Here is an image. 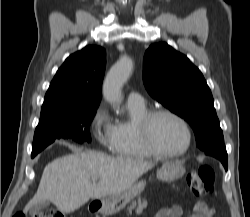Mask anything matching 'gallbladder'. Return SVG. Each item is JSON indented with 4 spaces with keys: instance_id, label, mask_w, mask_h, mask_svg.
Returning <instances> with one entry per match:
<instances>
[{
    "instance_id": "1",
    "label": "gallbladder",
    "mask_w": 250,
    "mask_h": 217,
    "mask_svg": "<svg viewBox=\"0 0 250 217\" xmlns=\"http://www.w3.org/2000/svg\"><path fill=\"white\" fill-rule=\"evenodd\" d=\"M50 205V203L48 201H44L42 203H39L35 206H33L31 209H30V213L31 214H36L38 213L40 210L44 209V208H47L48 206Z\"/></svg>"
}]
</instances>
